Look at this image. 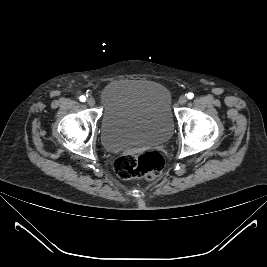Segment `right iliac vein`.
Instances as JSON below:
<instances>
[{"label":"right iliac vein","instance_id":"right-iliac-vein-1","mask_svg":"<svg viewBox=\"0 0 267 267\" xmlns=\"http://www.w3.org/2000/svg\"><path fill=\"white\" fill-rule=\"evenodd\" d=\"M87 104L91 107H93L95 105V99L93 97H89L87 99Z\"/></svg>","mask_w":267,"mask_h":267}]
</instances>
